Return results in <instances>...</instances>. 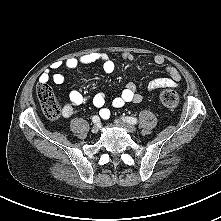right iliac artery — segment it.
<instances>
[{"mask_svg":"<svg viewBox=\"0 0 221 221\" xmlns=\"http://www.w3.org/2000/svg\"><path fill=\"white\" fill-rule=\"evenodd\" d=\"M92 121H93L94 123H99V122H100L99 116H98V115H94V116L92 117Z\"/></svg>","mask_w":221,"mask_h":221,"instance_id":"right-iliac-artery-1","label":"right iliac artery"}]
</instances>
